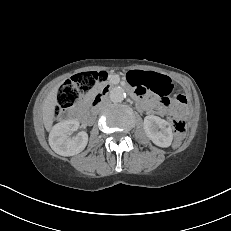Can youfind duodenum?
<instances>
[{
  "mask_svg": "<svg viewBox=\"0 0 231 231\" xmlns=\"http://www.w3.org/2000/svg\"><path fill=\"white\" fill-rule=\"evenodd\" d=\"M109 89H110V86L108 84H106L102 87V89L98 93H96L91 98V100L89 101V104H88L90 111H93L95 109V107L102 101L104 96L108 93ZM132 94L134 96H136L138 99H140L141 94H139L138 92L132 91ZM142 103H143V105L146 106V104L144 102H142ZM87 113H90V112L87 111Z\"/></svg>",
  "mask_w": 231,
  "mask_h": 231,
  "instance_id": "obj_1",
  "label": "duodenum"
}]
</instances>
